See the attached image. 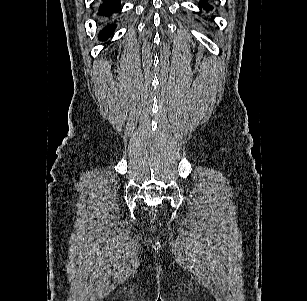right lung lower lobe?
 I'll use <instances>...</instances> for the list:
<instances>
[{
  "mask_svg": "<svg viewBox=\"0 0 307 301\" xmlns=\"http://www.w3.org/2000/svg\"><path fill=\"white\" fill-rule=\"evenodd\" d=\"M100 14L109 16L112 12L117 13L120 10V0H103V4L99 8ZM115 25L106 26L100 33V40H106L113 33Z\"/></svg>",
  "mask_w": 307,
  "mask_h": 301,
  "instance_id": "98d812e1",
  "label": "right lung lower lobe"
}]
</instances>
